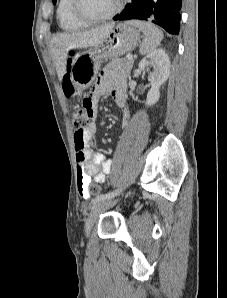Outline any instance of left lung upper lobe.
<instances>
[{"mask_svg":"<svg viewBox=\"0 0 227 298\" xmlns=\"http://www.w3.org/2000/svg\"><path fill=\"white\" fill-rule=\"evenodd\" d=\"M53 1V3H55L56 2V0H52Z\"/></svg>","mask_w":227,"mask_h":298,"instance_id":"5c2ea615","label":"left lung upper lobe"}]
</instances>
